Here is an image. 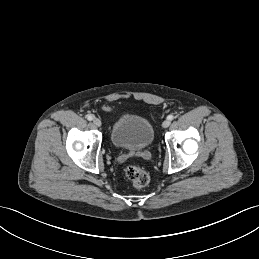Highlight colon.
Wrapping results in <instances>:
<instances>
[{
	"instance_id": "obj_1",
	"label": "colon",
	"mask_w": 259,
	"mask_h": 259,
	"mask_svg": "<svg viewBox=\"0 0 259 259\" xmlns=\"http://www.w3.org/2000/svg\"><path fill=\"white\" fill-rule=\"evenodd\" d=\"M126 179L137 188L144 187L149 182V174L141 167L131 165L124 171Z\"/></svg>"
}]
</instances>
